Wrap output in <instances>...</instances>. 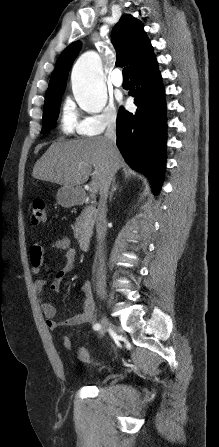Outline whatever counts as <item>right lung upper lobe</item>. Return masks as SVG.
<instances>
[{
  "instance_id": "obj_1",
  "label": "right lung upper lobe",
  "mask_w": 219,
  "mask_h": 447,
  "mask_svg": "<svg viewBox=\"0 0 219 447\" xmlns=\"http://www.w3.org/2000/svg\"><path fill=\"white\" fill-rule=\"evenodd\" d=\"M111 36L112 43L117 49L116 65H129L130 73L141 69L155 58L143 25L131 15L125 14L120 18ZM80 47V42H73L57 59L45 99L64 93L69 69Z\"/></svg>"
}]
</instances>
